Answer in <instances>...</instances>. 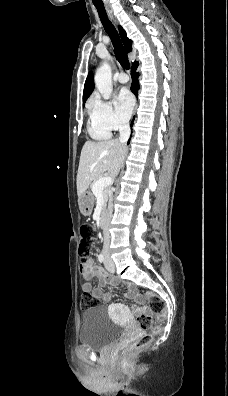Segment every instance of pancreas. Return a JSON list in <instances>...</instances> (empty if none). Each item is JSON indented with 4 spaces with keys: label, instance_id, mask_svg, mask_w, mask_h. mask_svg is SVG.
Segmentation results:
<instances>
[{
    "label": "pancreas",
    "instance_id": "cf45deb5",
    "mask_svg": "<svg viewBox=\"0 0 228 396\" xmlns=\"http://www.w3.org/2000/svg\"><path fill=\"white\" fill-rule=\"evenodd\" d=\"M98 180H99V179H96V180H94V181L91 183L90 188H91L92 191H93V187H94L95 183H96ZM102 194H103V197H104L105 201H107L108 196L111 195V190H110V188H109V187L104 188V189L102 190Z\"/></svg>",
    "mask_w": 228,
    "mask_h": 396
}]
</instances>
